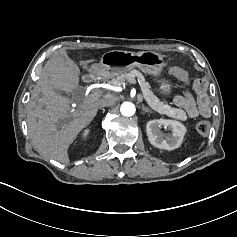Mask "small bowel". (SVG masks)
<instances>
[{"mask_svg": "<svg viewBox=\"0 0 237 237\" xmlns=\"http://www.w3.org/2000/svg\"><path fill=\"white\" fill-rule=\"evenodd\" d=\"M193 91L195 98L189 92H185L176 95L173 98V103L184 110L190 118L209 117L211 109L207 95V82L204 79H197L193 84Z\"/></svg>", "mask_w": 237, "mask_h": 237, "instance_id": "c3829d8e", "label": "small bowel"}]
</instances>
